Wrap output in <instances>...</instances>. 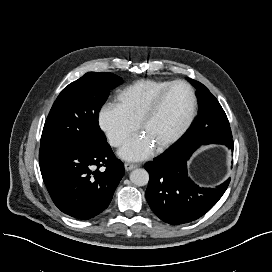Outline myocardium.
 Here are the masks:
<instances>
[{"label":"myocardium","instance_id":"obj_1","mask_svg":"<svg viewBox=\"0 0 272 272\" xmlns=\"http://www.w3.org/2000/svg\"><path fill=\"white\" fill-rule=\"evenodd\" d=\"M176 86H183L187 89L190 97L189 112L182 125L174 132V134L171 135L164 142L156 146L157 151H163L170 147L171 145H173L177 140H179L183 136V134L188 130L196 115L197 98L193 88L185 81L178 80L171 82L167 87H165L161 92H159L155 96V98L143 112L138 122V129L142 131L145 124L156 114L167 94Z\"/></svg>","mask_w":272,"mask_h":272}]
</instances>
